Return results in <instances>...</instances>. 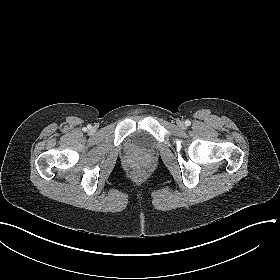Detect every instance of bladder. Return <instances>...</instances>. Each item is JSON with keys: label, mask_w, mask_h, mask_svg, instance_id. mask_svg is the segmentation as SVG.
<instances>
[{"label": "bladder", "mask_w": 280, "mask_h": 280, "mask_svg": "<svg viewBox=\"0 0 280 280\" xmlns=\"http://www.w3.org/2000/svg\"><path fill=\"white\" fill-rule=\"evenodd\" d=\"M130 144L139 149H148L149 141L145 135L138 134L130 139Z\"/></svg>", "instance_id": "31cf9c89"}]
</instances>
